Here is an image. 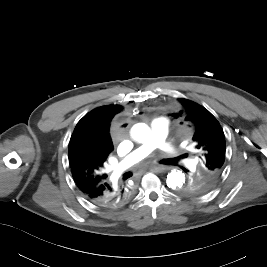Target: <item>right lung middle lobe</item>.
Segmentation results:
<instances>
[{"label":"right lung middle lobe","mask_w":267,"mask_h":267,"mask_svg":"<svg viewBox=\"0 0 267 267\" xmlns=\"http://www.w3.org/2000/svg\"><path fill=\"white\" fill-rule=\"evenodd\" d=\"M97 165L93 161H87L86 164L80 167V176L83 179L90 178L96 174Z\"/></svg>","instance_id":"1"}]
</instances>
